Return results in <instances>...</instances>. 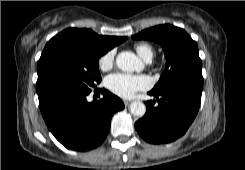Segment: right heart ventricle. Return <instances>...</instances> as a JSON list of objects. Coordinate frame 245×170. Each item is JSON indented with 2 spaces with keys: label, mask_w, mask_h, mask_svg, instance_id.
<instances>
[{
  "label": "right heart ventricle",
  "mask_w": 245,
  "mask_h": 170,
  "mask_svg": "<svg viewBox=\"0 0 245 170\" xmlns=\"http://www.w3.org/2000/svg\"><path fill=\"white\" fill-rule=\"evenodd\" d=\"M138 55L146 61H150L154 55L153 47L146 42H139L134 45Z\"/></svg>",
  "instance_id": "obj_1"
}]
</instances>
